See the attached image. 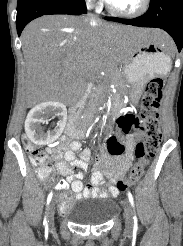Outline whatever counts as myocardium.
I'll use <instances>...</instances> for the list:
<instances>
[{"label":"myocardium","mask_w":183,"mask_h":246,"mask_svg":"<svg viewBox=\"0 0 183 246\" xmlns=\"http://www.w3.org/2000/svg\"><path fill=\"white\" fill-rule=\"evenodd\" d=\"M150 2L151 0H142L141 5L136 10L125 12L114 8L108 0H105L107 10L111 14L122 18H135L144 14L149 8Z\"/></svg>","instance_id":"obj_1"}]
</instances>
